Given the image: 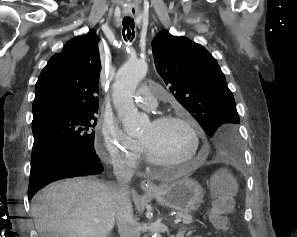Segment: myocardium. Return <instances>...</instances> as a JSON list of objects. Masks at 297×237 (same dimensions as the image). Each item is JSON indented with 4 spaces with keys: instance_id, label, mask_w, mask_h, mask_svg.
<instances>
[{
    "instance_id": "1",
    "label": "myocardium",
    "mask_w": 297,
    "mask_h": 237,
    "mask_svg": "<svg viewBox=\"0 0 297 237\" xmlns=\"http://www.w3.org/2000/svg\"><path fill=\"white\" fill-rule=\"evenodd\" d=\"M153 122L155 123H170V122H177L181 123L184 126H186L193 138L194 143V150L193 152L186 158L177 160V161H170L165 160L154 154L144 143L141 142V145L143 147L145 156L147 160L156 166H174V165H182L187 162H190L194 159H196L199 155L200 148H201V136L198 132V129L196 125L193 123V121L188 118L185 115L182 114H167V115H161L156 117Z\"/></svg>"
}]
</instances>
